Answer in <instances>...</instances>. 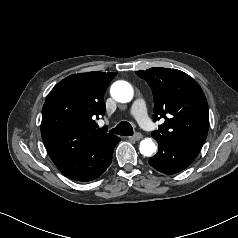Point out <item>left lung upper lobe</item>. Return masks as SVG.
<instances>
[{"mask_svg": "<svg viewBox=\"0 0 238 238\" xmlns=\"http://www.w3.org/2000/svg\"><path fill=\"white\" fill-rule=\"evenodd\" d=\"M135 73L153 92L154 121L165 119L152 137L200 150L208 133V103L198 83L177 69L150 68Z\"/></svg>", "mask_w": 238, "mask_h": 238, "instance_id": "1", "label": "left lung upper lobe"}]
</instances>
